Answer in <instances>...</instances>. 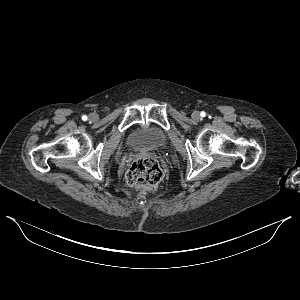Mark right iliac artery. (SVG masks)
Listing matches in <instances>:
<instances>
[{
  "instance_id": "obj_1",
  "label": "right iliac artery",
  "mask_w": 300,
  "mask_h": 300,
  "mask_svg": "<svg viewBox=\"0 0 300 300\" xmlns=\"http://www.w3.org/2000/svg\"><path fill=\"white\" fill-rule=\"evenodd\" d=\"M82 120H83V121H86V120H87V116H86V115H83V116H82Z\"/></svg>"
}]
</instances>
